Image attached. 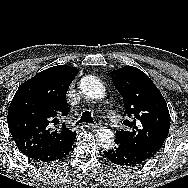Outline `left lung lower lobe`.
<instances>
[{"label": "left lung lower lobe", "instance_id": "0a47b994", "mask_svg": "<svg viewBox=\"0 0 188 188\" xmlns=\"http://www.w3.org/2000/svg\"><path fill=\"white\" fill-rule=\"evenodd\" d=\"M115 143L116 145L114 148L104 151L105 157L114 164L125 166L141 164L154 155L140 148L126 146L116 141Z\"/></svg>", "mask_w": 188, "mask_h": 188}]
</instances>
